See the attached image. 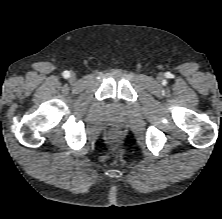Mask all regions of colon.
<instances>
[{"mask_svg": "<svg viewBox=\"0 0 222 219\" xmlns=\"http://www.w3.org/2000/svg\"><path fill=\"white\" fill-rule=\"evenodd\" d=\"M110 140L112 142H117L119 140V133L117 131H113L110 134Z\"/></svg>", "mask_w": 222, "mask_h": 219, "instance_id": "5ec220e1", "label": "colon"}]
</instances>
